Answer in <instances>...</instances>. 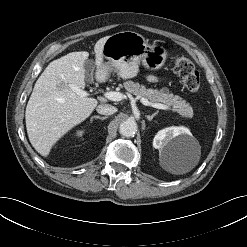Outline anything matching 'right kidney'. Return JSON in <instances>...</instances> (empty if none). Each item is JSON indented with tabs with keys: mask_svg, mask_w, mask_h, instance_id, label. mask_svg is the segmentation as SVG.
Segmentation results:
<instances>
[{
	"mask_svg": "<svg viewBox=\"0 0 247 247\" xmlns=\"http://www.w3.org/2000/svg\"><path fill=\"white\" fill-rule=\"evenodd\" d=\"M84 131L80 130V131H77L76 135L78 137H81L83 135Z\"/></svg>",
	"mask_w": 247,
	"mask_h": 247,
	"instance_id": "ca27d5eb",
	"label": "right kidney"
}]
</instances>
